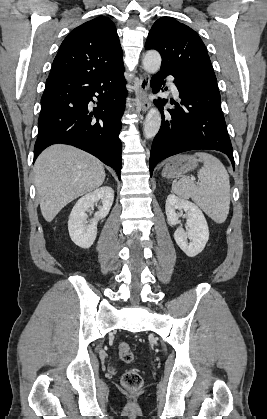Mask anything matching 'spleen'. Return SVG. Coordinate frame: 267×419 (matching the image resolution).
<instances>
[{"mask_svg": "<svg viewBox=\"0 0 267 419\" xmlns=\"http://www.w3.org/2000/svg\"><path fill=\"white\" fill-rule=\"evenodd\" d=\"M204 165L198 171L200 185L188 177L172 184V191L183 199L191 198L214 222H225L230 207L229 175L222 162L215 156L198 152L195 154Z\"/></svg>", "mask_w": 267, "mask_h": 419, "instance_id": "spleen-1", "label": "spleen"}]
</instances>
